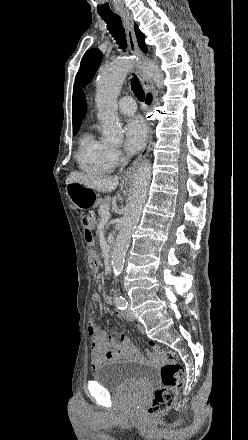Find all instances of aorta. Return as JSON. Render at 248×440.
<instances>
[{
    "label": "aorta",
    "instance_id": "obj_1",
    "mask_svg": "<svg viewBox=\"0 0 248 440\" xmlns=\"http://www.w3.org/2000/svg\"><path fill=\"white\" fill-rule=\"evenodd\" d=\"M134 65L135 62L132 60L118 59L103 69L98 76L95 97L98 107L97 117L102 125V137L111 144L119 145L123 142V131L117 115L116 102L122 84ZM139 66L158 88L163 86V74L154 62L145 60L139 62ZM150 179L151 164L149 161H144L135 173L131 197L121 221L112 255V268L116 276L123 269L132 232L139 222L147 198Z\"/></svg>",
    "mask_w": 248,
    "mask_h": 440
}]
</instances>
